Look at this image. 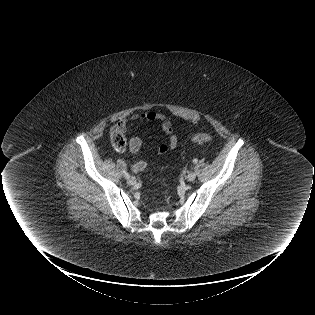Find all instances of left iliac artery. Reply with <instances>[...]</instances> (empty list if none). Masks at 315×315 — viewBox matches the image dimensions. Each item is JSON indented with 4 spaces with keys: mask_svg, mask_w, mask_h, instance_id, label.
Wrapping results in <instances>:
<instances>
[{
    "mask_svg": "<svg viewBox=\"0 0 315 315\" xmlns=\"http://www.w3.org/2000/svg\"><path fill=\"white\" fill-rule=\"evenodd\" d=\"M197 161H198L197 159H194V160H193V163H195V164H196V163H197Z\"/></svg>",
    "mask_w": 315,
    "mask_h": 315,
    "instance_id": "44dca946",
    "label": "left iliac artery"
}]
</instances>
